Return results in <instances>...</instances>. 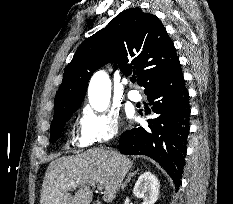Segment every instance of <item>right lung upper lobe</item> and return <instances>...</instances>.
<instances>
[{"label": "right lung upper lobe", "instance_id": "obj_1", "mask_svg": "<svg viewBox=\"0 0 233 204\" xmlns=\"http://www.w3.org/2000/svg\"><path fill=\"white\" fill-rule=\"evenodd\" d=\"M108 62L118 64L126 76L133 71L138 84L146 87L179 60L173 42L157 16L140 8L127 9L79 46L64 70L62 84L55 96L53 120L79 107L91 75Z\"/></svg>", "mask_w": 233, "mask_h": 204}]
</instances>
